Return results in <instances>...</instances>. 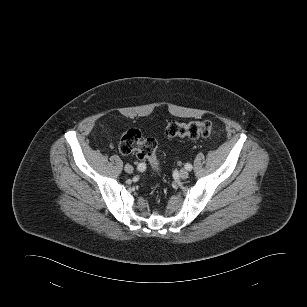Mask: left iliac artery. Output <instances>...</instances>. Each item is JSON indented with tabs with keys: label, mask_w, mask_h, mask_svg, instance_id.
Returning a JSON list of instances; mask_svg holds the SVG:
<instances>
[{
	"label": "left iliac artery",
	"mask_w": 307,
	"mask_h": 307,
	"mask_svg": "<svg viewBox=\"0 0 307 307\" xmlns=\"http://www.w3.org/2000/svg\"><path fill=\"white\" fill-rule=\"evenodd\" d=\"M192 168H193V167H192V165H191L190 163H186V164H185V169L191 171Z\"/></svg>",
	"instance_id": "obj_1"
}]
</instances>
